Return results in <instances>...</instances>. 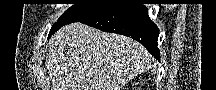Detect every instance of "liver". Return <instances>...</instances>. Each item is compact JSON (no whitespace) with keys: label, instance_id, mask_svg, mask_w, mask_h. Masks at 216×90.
Wrapping results in <instances>:
<instances>
[{"label":"liver","instance_id":"obj_1","mask_svg":"<svg viewBox=\"0 0 216 90\" xmlns=\"http://www.w3.org/2000/svg\"><path fill=\"white\" fill-rule=\"evenodd\" d=\"M47 58L53 90H121L128 78L149 66L142 44L85 24H69L52 40Z\"/></svg>","mask_w":216,"mask_h":90}]
</instances>
